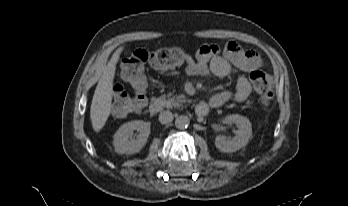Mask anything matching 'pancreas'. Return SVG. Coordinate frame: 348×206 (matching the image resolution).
<instances>
[{"label":"pancreas","mask_w":348,"mask_h":206,"mask_svg":"<svg viewBox=\"0 0 348 206\" xmlns=\"http://www.w3.org/2000/svg\"><path fill=\"white\" fill-rule=\"evenodd\" d=\"M166 102L167 107H181L183 103L187 100L184 95H173V93H168L167 95H163L161 97Z\"/></svg>","instance_id":"1"}]
</instances>
